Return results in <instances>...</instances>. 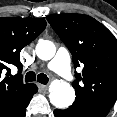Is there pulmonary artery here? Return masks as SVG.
I'll list each match as a JSON object with an SVG mask.
<instances>
[{"label": "pulmonary artery", "instance_id": "pulmonary-artery-1", "mask_svg": "<svg viewBox=\"0 0 117 117\" xmlns=\"http://www.w3.org/2000/svg\"><path fill=\"white\" fill-rule=\"evenodd\" d=\"M48 68L65 80L72 78L71 55L69 51L61 47L55 57L49 62Z\"/></svg>", "mask_w": 117, "mask_h": 117}]
</instances>
